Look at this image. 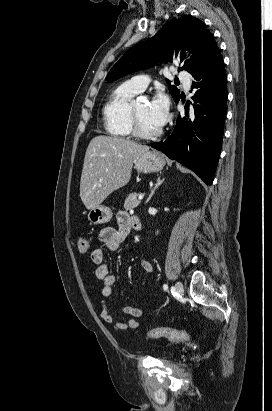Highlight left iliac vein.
Wrapping results in <instances>:
<instances>
[{"label": "left iliac vein", "mask_w": 272, "mask_h": 411, "mask_svg": "<svg viewBox=\"0 0 272 411\" xmlns=\"http://www.w3.org/2000/svg\"><path fill=\"white\" fill-rule=\"evenodd\" d=\"M175 291L180 295L183 293V284L180 281L176 282Z\"/></svg>", "instance_id": "4c4485c4"}]
</instances>
